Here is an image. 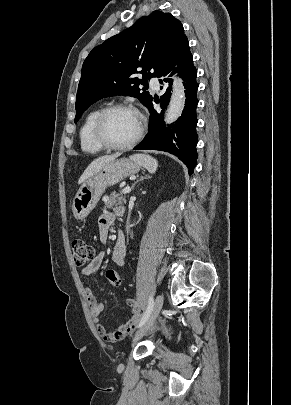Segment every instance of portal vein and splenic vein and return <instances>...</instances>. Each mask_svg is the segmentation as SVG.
<instances>
[{
  "instance_id": "portal-vein-and-splenic-vein-1",
  "label": "portal vein and splenic vein",
  "mask_w": 291,
  "mask_h": 405,
  "mask_svg": "<svg viewBox=\"0 0 291 405\" xmlns=\"http://www.w3.org/2000/svg\"><path fill=\"white\" fill-rule=\"evenodd\" d=\"M130 191H131V188L128 186V187H125V188L122 190V193H123V194H128V193H130Z\"/></svg>"
}]
</instances>
